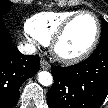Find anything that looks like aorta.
<instances>
[{
	"label": "aorta",
	"instance_id": "aorta-1",
	"mask_svg": "<svg viewBox=\"0 0 108 108\" xmlns=\"http://www.w3.org/2000/svg\"><path fill=\"white\" fill-rule=\"evenodd\" d=\"M38 81L43 86H50L53 83V77L49 72L41 71L38 73Z\"/></svg>",
	"mask_w": 108,
	"mask_h": 108
}]
</instances>
